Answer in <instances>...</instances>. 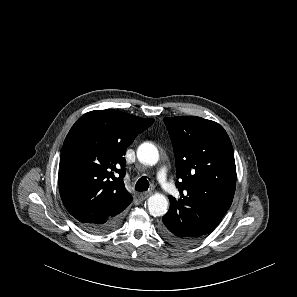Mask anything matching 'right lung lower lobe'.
<instances>
[{"mask_svg": "<svg viewBox=\"0 0 297 297\" xmlns=\"http://www.w3.org/2000/svg\"><path fill=\"white\" fill-rule=\"evenodd\" d=\"M122 214L119 213L115 216L110 217L101 224H91L83 227L86 231L93 234H106L110 233L120 225Z\"/></svg>", "mask_w": 297, "mask_h": 297, "instance_id": "right-lung-lower-lobe-1", "label": "right lung lower lobe"}]
</instances>
